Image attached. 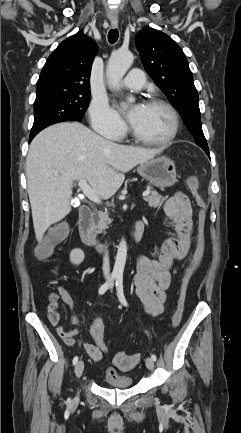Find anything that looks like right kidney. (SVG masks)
Here are the masks:
<instances>
[{"instance_id":"ca27d5eb","label":"right kidney","mask_w":241,"mask_h":433,"mask_svg":"<svg viewBox=\"0 0 241 433\" xmlns=\"http://www.w3.org/2000/svg\"><path fill=\"white\" fill-rule=\"evenodd\" d=\"M84 252L81 249H73L70 253V261L72 264L79 265L84 260Z\"/></svg>"}]
</instances>
